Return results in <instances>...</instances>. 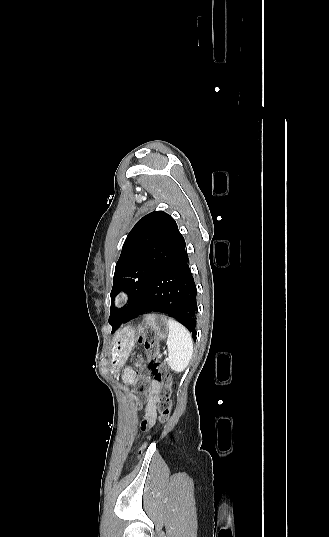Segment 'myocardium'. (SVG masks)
Masks as SVG:
<instances>
[{
	"label": "myocardium",
	"instance_id": "myocardium-1",
	"mask_svg": "<svg viewBox=\"0 0 329 537\" xmlns=\"http://www.w3.org/2000/svg\"><path fill=\"white\" fill-rule=\"evenodd\" d=\"M129 300V295L127 292L125 291H122V292H119L113 299L112 301V305L115 307V308H121L123 307Z\"/></svg>",
	"mask_w": 329,
	"mask_h": 537
}]
</instances>
